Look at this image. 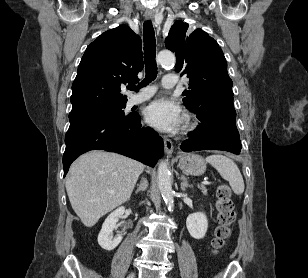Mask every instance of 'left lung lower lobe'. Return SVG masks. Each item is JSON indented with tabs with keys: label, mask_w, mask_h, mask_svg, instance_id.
<instances>
[{
	"label": "left lung lower lobe",
	"mask_w": 308,
	"mask_h": 278,
	"mask_svg": "<svg viewBox=\"0 0 308 278\" xmlns=\"http://www.w3.org/2000/svg\"><path fill=\"white\" fill-rule=\"evenodd\" d=\"M193 112L198 115L200 126L190 132L192 137L181 144L183 151L224 150L240 153L242 147L232 95L215 97Z\"/></svg>",
	"instance_id": "left-lung-lower-lobe-1"
}]
</instances>
